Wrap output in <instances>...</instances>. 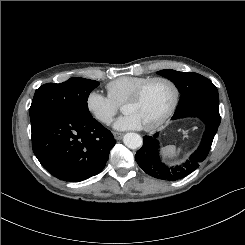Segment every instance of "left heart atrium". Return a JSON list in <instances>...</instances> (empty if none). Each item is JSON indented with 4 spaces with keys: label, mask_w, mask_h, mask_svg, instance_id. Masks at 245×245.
Returning <instances> with one entry per match:
<instances>
[{
    "label": "left heart atrium",
    "mask_w": 245,
    "mask_h": 245,
    "mask_svg": "<svg viewBox=\"0 0 245 245\" xmlns=\"http://www.w3.org/2000/svg\"><path fill=\"white\" fill-rule=\"evenodd\" d=\"M143 127L141 121L134 114H125L120 117L114 124L118 130H137Z\"/></svg>",
    "instance_id": "39dd6f15"
}]
</instances>
